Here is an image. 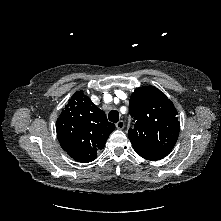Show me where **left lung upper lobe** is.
Here are the masks:
<instances>
[{"instance_id": "obj_1", "label": "left lung upper lobe", "mask_w": 221, "mask_h": 221, "mask_svg": "<svg viewBox=\"0 0 221 221\" xmlns=\"http://www.w3.org/2000/svg\"><path fill=\"white\" fill-rule=\"evenodd\" d=\"M134 128L129 139L135 152L147 160L167 156L178 139L180 124L174 104L156 87L134 91L129 101Z\"/></svg>"}]
</instances>
